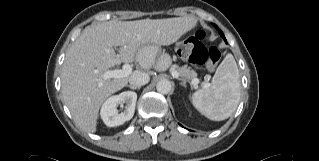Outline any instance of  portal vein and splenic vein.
<instances>
[{
    "label": "portal vein and splenic vein",
    "instance_id": "18ae733b",
    "mask_svg": "<svg viewBox=\"0 0 319 161\" xmlns=\"http://www.w3.org/2000/svg\"><path fill=\"white\" fill-rule=\"evenodd\" d=\"M132 68L128 63H125L122 69H115V70H107L102 74L103 79H111V78H123L127 77L131 74ZM172 76L177 78L179 73L177 71H172ZM199 80L197 78L192 80L193 84H198Z\"/></svg>",
    "mask_w": 319,
    "mask_h": 161
}]
</instances>
